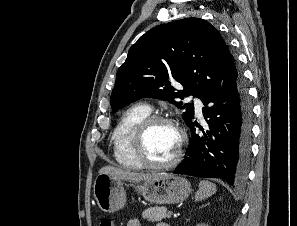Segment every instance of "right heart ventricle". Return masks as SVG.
<instances>
[{"label":"right heart ventricle","mask_w":297,"mask_h":226,"mask_svg":"<svg viewBox=\"0 0 297 226\" xmlns=\"http://www.w3.org/2000/svg\"><path fill=\"white\" fill-rule=\"evenodd\" d=\"M150 107L135 104L120 117L112 133L113 156L117 163L128 169H141L143 166L131 150V138L137 124L150 114Z\"/></svg>","instance_id":"1"}]
</instances>
